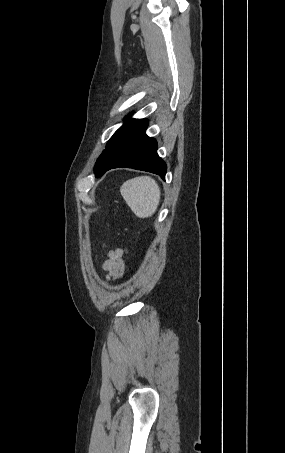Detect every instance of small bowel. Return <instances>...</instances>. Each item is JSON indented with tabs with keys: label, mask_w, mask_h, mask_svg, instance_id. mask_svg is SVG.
<instances>
[{
	"label": "small bowel",
	"mask_w": 285,
	"mask_h": 453,
	"mask_svg": "<svg viewBox=\"0 0 285 453\" xmlns=\"http://www.w3.org/2000/svg\"><path fill=\"white\" fill-rule=\"evenodd\" d=\"M124 253L125 250L123 249H115L108 252L107 258L103 263V269L109 279H118L123 275L125 267L123 261Z\"/></svg>",
	"instance_id": "c3829d8e"
}]
</instances>
